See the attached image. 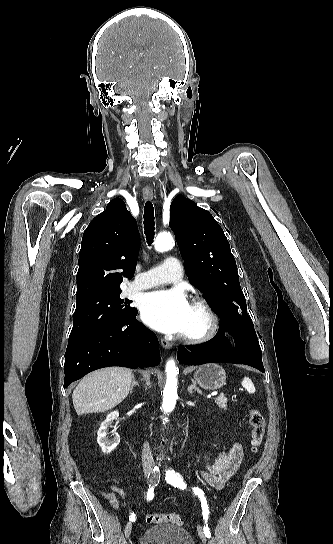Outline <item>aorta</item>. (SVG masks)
Masks as SVG:
<instances>
[{
  "label": "aorta",
  "mask_w": 333,
  "mask_h": 544,
  "mask_svg": "<svg viewBox=\"0 0 333 544\" xmlns=\"http://www.w3.org/2000/svg\"><path fill=\"white\" fill-rule=\"evenodd\" d=\"M174 244L173 237L170 233H159L155 240V249L158 252L169 250ZM178 367L174 360H169L166 364V384L163 390L162 408L165 412H171L177 400V374Z\"/></svg>",
  "instance_id": "1"
}]
</instances>
